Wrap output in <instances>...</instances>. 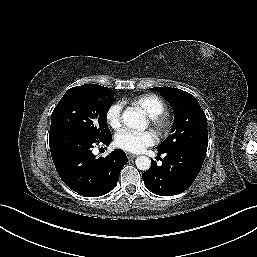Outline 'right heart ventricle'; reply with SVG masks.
<instances>
[{
    "mask_svg": "<svg viewBox=\"0 0 257 257\" xmlns=\"http://www.w3.org/2000/svg\"><path fill=\"white\" fill-rule=\"evenodd\" d=\"M131 103L140 108L149 118L155 117L165 110V101L154 93L139 95Z\"/></svg>",
    "mask_w": 257,
    "mask_h": 257,
    "instance_id": "1",
    "label": "right heart ventricle"
}]
</instances>
